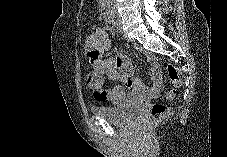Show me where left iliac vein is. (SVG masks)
Segmentation results:
<instances>
[{
    "label": "left iliac vein",
    "mask_w": 227,
    "mask_h": 157,
    "mask_svg": "<svg viewBox=\"0 0 227 157\" xmlns=\"http://www.w3.org/2000/svg\"><path fill=\"white\" fill-rule=\"evenodd\" d=\"M118 29H119V32H121V33L123 32L121 22L118 23ZM125 37H126V36H125Z\"/></svg>",
    "instance_id": "4c4485c4"
}]
</instances>
